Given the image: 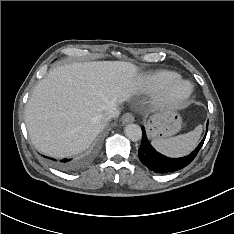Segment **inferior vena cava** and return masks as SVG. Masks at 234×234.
I'll return each instance as SVG.
<instances>
[{"mask_svg": "<svg viewBox=\"0 0 234 234\" xmlns=\"http://www.w3.org/2000/svg\"><path fill=\"white\" fill-rule=\"evenodd\" d=\"M120 114V110L117 107H112L100 115L102 122L107 123L111 119L117 118Z\"/></svg>", "mask_w": 234, "mask_h": 234, "instance_id": "inferior-vena-cava-1", "label": "inferior vena cava"}]
</instances>
